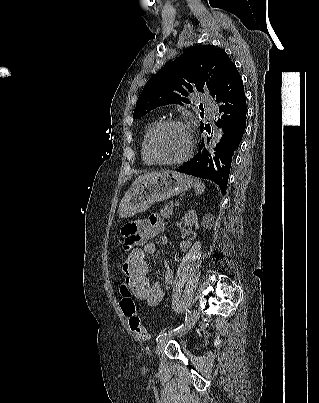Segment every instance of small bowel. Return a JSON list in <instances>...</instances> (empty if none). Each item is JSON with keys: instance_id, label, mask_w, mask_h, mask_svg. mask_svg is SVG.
<instances>
[{"instance_id": "1", "label": "small bowel", "mask_w": 319, "mask_h": 403, "mask_svg": "<svg viewBox=\"0 0 319 403\" xmlns=\"http://www.w3.org/2000/svg\"><path fill=\"white\" fill-rule=\"evenodd\" d=\"M164 221L161 217L157 215L150 216L149 220L131 222L128 224L121 225V248L129 249L135 246L136 243L143 249V258L147 255H153L156 252V244L153 239L158 236V242L161 245L168 243V236L163 233L164 231ZM164 288L161 286L158 280L153 281V293L150 296V300L146 301L150 306L158 305L165 295V291L173 283V273L168 265V262L164 260ZM122 296V295H121ZM127 296L133 297V302L135 303V292L130 291Z\"/></svg>"}]
</instances>
